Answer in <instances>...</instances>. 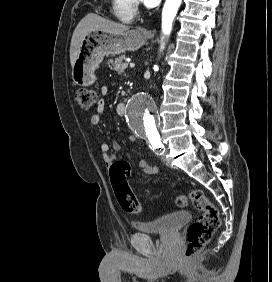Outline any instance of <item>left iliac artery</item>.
Masks as SVG:
<instances>
[{
  "label": "left iliac artery",
  "mask_w": 272,
  "mask_h": 282,
  "mask_svg": "<svg viewBox=\"0 0 272 282\" xmlns=\"http://www.w3.org/2000/svg\"><path fill=\"white\" fill-rule=\"evenodd\" d=\"M150 145H151L150 147L153 148V150L154 149L161 150L164 147L161 143L160 138L151 140Z\"/></svg>",
  "instance_id": "44dca946"
}]
</instances>
